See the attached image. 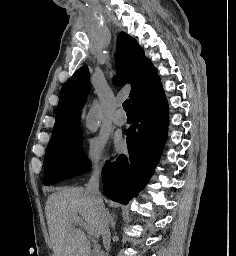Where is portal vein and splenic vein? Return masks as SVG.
<instances>
[{"label":"portal vein and splenic vein","mask_w":236,"mask_h":256,"mask_svg":"<svg viewBox=\"0 0 236 256\" xmlns=\"http://www.w3.org/2000/svg\"><path fill=\"white\" fill-rule=\"evenodd\" d=\"M72 220H73V224H77V226H81V228H85L87 234H89V236H92L93 234L92 228H89V226H86L85 222H83L80 216H73Z\"/></svg>","instance_id":"obj_1"}]
</instances>
